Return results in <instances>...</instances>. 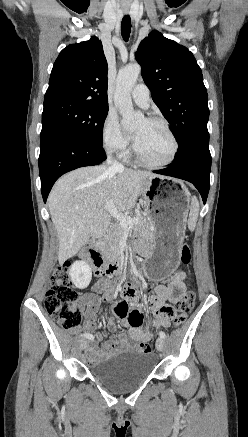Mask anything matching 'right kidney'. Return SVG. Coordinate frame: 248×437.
Returning <instances> with one entry per match:
<instances>
[{"instance_id":"ca27d5eb","label":"right kidney","mask_w":248,"mask_h":437,"mask_svg":"<svg viewBox=\"0 0 248 437\" xmlns=\"http://www.w3.org/2000/svg\"><path fill=\"white\" fill-rule=\"evenodd\" d=\"M70 277L77 288L84 289L91 281V268L85 261H76L71 265Z\"/></svg>"}]
</instances>
